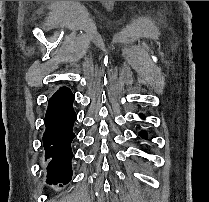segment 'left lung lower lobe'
Returning a JSON list of instances; mask_svg holds the SVG:
<instances>
[{
  "mask_svg": "<svg viewBox=\"0 0 209 202\" xmlns=\"http://www.w3.org/2000/svg\"><path fill=\"white\" fill-rule=\"evenodd\" d=\"M140 117H141V118H145L144 115H142V114H140ZM140 136H141L142 138H147V133H146V132H141V133H140Z\"/></svg>",
  "mask_w": 209,
  "mask_h": 202,
  "instance_id": "left-lung-lower-lobe-1",
  "label": "left lung lower lobe"
}]
</instances>
